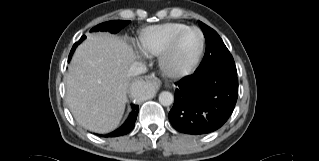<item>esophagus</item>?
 <instances>
[{"instance_id": "34e87169", "label": "esophagus", "mask_w": 319, "mask_h": 161, "mask_svg": "<svg viewBox=\"0 0 319 161\" xmlns=\"http://www.w3.org/2000/svg\"><path fill=\"white\" fill-rule=\"evenodd\" d=\"M145 80L151 82L156 88H160L161 86V80L158 79L157 77H149V78L146 77Z\"/></svg>"}]
</instances>
